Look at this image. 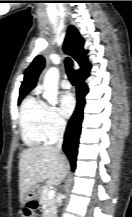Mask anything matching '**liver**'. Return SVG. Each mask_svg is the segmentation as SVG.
<instances>
[{
    "label": "liver",
    "instance_id": "1",
    "mask_svg": "<svg viewBox=\"0 0 132 217\" xmlns=\"http://www.w3.org/2000/svg\"><path fill=\"white\" fill-rule=\"evenodd\" d=\"M69 162L55 146H32L19 159V190L23 201L29 189L41 182L59 185L69 171Z\"/></svg>",
    "mask_w": 132,
    "mask_h": 217
}]
</instances>
